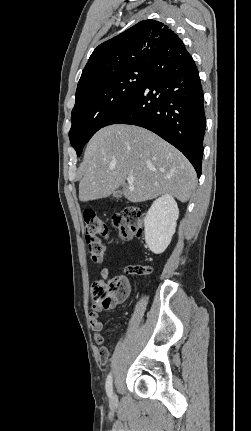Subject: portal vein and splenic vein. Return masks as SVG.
<instances>
[{
	"instance_id": "obj_1",
	"label": "portal vein and splenic vein",
	"mask_w": 251,
	"mask_h": 431,
	"mask_svg": "<svg viewBox=\"0 0 251 431\" xmlns=\"http://www.w3.org/2000/svg\"><path fill=\"white\" fill-rule=\"evenodd\" d=\"M134 180H135V178H134L133 176H128V177H127V182H128L129 184H132V183L134 182Z\"/></svg>"
}]
</instances>
